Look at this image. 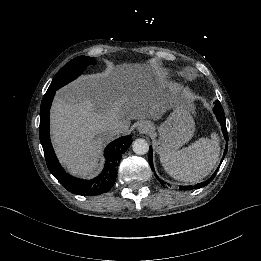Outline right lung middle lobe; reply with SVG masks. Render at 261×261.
<instances>
[{
  "instance_id": "1",
  "label": "right lung middle lobe",
  "mask_w": 261,
  "mask_h": 261,
  "mask_svg": "<svg viewBox=\"0 0 261 261\" xmlns=\"http://www.w3.org/2000/svg\"><path fill=\"white\" fill-rule=\"evenodd\" d=\"M92 57L78 56L69 61L53 78L45 95L55 92L62 86L76 79L89 65H94Z\"/></svg>"
}]
</instances>
